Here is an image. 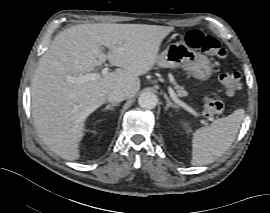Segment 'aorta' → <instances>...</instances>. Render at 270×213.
<instances>
[{
	"label": "aorta",
	"mask_w": 270,
	"mask_h": 213,
	"mask_svg": "<svg viewBox=\"0 0 270 213\" xmlns=\"http://www.w3.org/2000/svg\"><path fill=\"white\" fill-rule=\"evenodd\" d=\"M158 102L157 96L152 92H144L138 98V104L144 109H153Z\"/></svg>",
	"instance_id": "762f6f07"
}]
</instances>
